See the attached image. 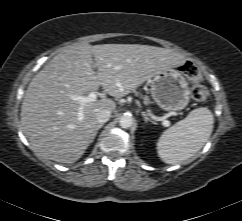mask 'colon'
<instances>
[{"mask_svg": "<svg viewBox=\"0 0 242 221\" xmlns=\"http://www.w3.org/2000/svg\"><path fill=\"white\" fill-rule=\"evenodd\" d=\"M184 75L193 83L192 87V97L197 102H205L209 98V90L207 87L202 85L201 74L197 66L191 62L185 63L181 67Z\"/></svg>", "mask_w": 242, "mask_h": 221, "instance_id": "5ec220e1", "label": "colon"}]
</instances>
